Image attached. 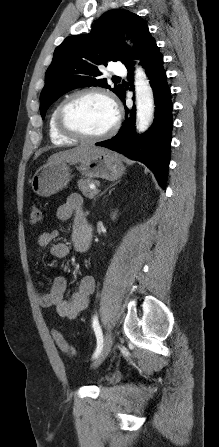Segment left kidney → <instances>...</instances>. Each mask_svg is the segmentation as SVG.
<instances>
[{
    "instance_id": "obj_1",
    "label": "left kidney",
    "mask_w": 219,
    "mask_h": 447,
    "mask_svg": "<svg viewBox=\"0 0 219 447\" xmlns=\"http://www.w3.org/2000/svg\"><path fill=\"white\" fill-rule=\"evenodd\" d=\"M115 215H116V214L114 213L113 216H112V219H115Z\"/></svg>"
}]
</instances>
